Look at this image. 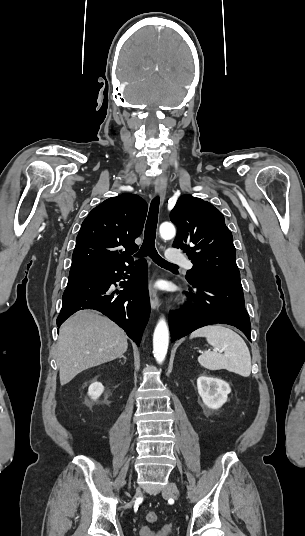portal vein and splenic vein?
Segmentation results:
<instances>
[{
	"mask_svg": "<svg viewBox=\"0 0 305 536\" xmlns=\"http://www.w3.org/2000/svg\"><path fill=\"white\" fill-rule=\"evenodd\" d=\"M214 352H223V350H217V348H215Z\"/></svg>",
	"mask_w": 305,
	"mask_h": 536,
	"instance_id": "obj_1",
	"label": "portal vein and splenic vein"
}]
</instances>
